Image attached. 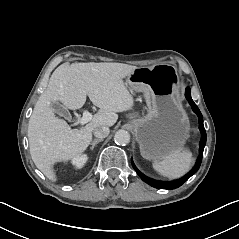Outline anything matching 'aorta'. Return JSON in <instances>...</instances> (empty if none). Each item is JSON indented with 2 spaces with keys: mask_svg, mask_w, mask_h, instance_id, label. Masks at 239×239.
Listing matches in <instances>:
<instances>
[{
  "mask_svg": "<svg viewBox=\"0 0 239 239\" xmlns=\"http://www.w3.org/2000/svg\"><path fill=\"white\" fill-rule=\"evenodd\" d=\"M114 140L119 145H126L130 142V134L128 131L120 129L115 133Z\"/></svg>",
  "mask_w": 239,
  "mask_h": 239,
  "instance_id": "762f6f07",
  "label": "aorta"
}]
</instances>
